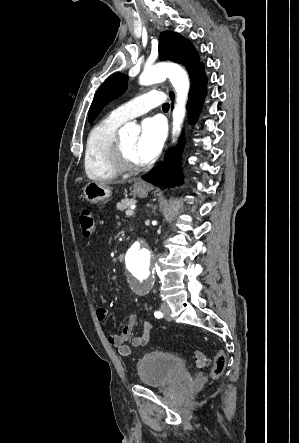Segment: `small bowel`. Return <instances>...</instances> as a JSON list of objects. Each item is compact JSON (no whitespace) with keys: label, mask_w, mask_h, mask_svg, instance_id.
<instances>
[{"label":"small bowel","mask_w":299,"mask_h":443,"mask_svg":"<svg viewBox=\"0 0 299 443\" xmlns=\"http://www.w3.org/2000/svg\"><path fill=\"white\" fill-rule=\"evenodd\" d=\"M96 315L99 320H104L107 316V310L100 307L96 310ZM137 321V316L135 314H131L121 333L109 332L107 334L108 342L112 346L117 347L120 350V353L124 356H129L132 353L133 347H141L146 345L149 342L150 333L154 329L153 324L146 321L143 324L142 331L138 335L132 337ZM130 339L131 345H127V341Z\"/></svg>","instance_id":"obj_1"}]
</instances>
